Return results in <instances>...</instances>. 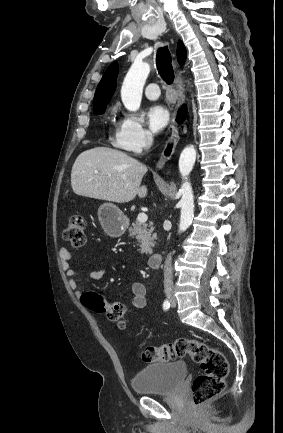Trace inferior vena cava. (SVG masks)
Instances as JSON below:
<instances>
[{"instance_id": "1", "label": "inferior vena cava", "mask_w": 283, "mask_h": 433, "mask_svg": "<svg viewBox=\"0 0 283 433\" xmlns=\"http://www.w3.org/2000/svg\"><path fill=\"white\" fill-rule=\"evenodd\" d=\"M150 138H146L144 146H150ZM173 291V269H172V253L166 257L164 267V293L170 295Z\"/></svg>"}]
</instances>
